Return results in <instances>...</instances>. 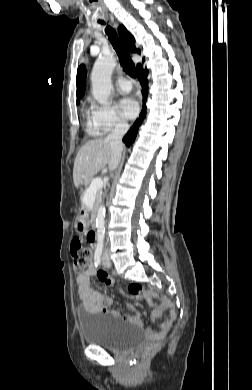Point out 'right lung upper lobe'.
<instances>
[{
	"label": "right lung upper lobe",
	"instance_id": "obj_1",
	"mask_svg": "<svg viewBox=\"0 0 252 390\" xmlns=\"http://www.w3.org/2000/svg\"><path fill=\"white\" fill-rule=\"evenodd\" d=\"M119 35L123 42L127 45V47L130 49L131 52H138L140 53V50H137L135 47V39L134 37L127 31V29L121 25L118 28ZM144 61V59H143ZM141 69V65H138L137 71ZM86 79V69L84 65H81L78 67L77 71V97L80 99L83 96L84 93V84ZM79 103V100L77 101Z\"/></svg>",
	"mask_w": 252,
	"mask_h": 390
}]
</instances>
